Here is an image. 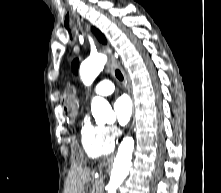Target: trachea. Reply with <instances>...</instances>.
Masks as SVG:
<instances>
[{
	"mask_svg": "<svg viewBox=\"0 0 221 193\" xmlns=\"http://www.w3.org/2000/svg\"><path fill=\"white\" fill-rule=\"evenodd\" d=\"M115 75H116V77H117L120 81L123 80V75H122V73L120 72V70L116 69V70H115Z\"/></svg>",
	"mask_w": 221,
	"mask_h": 193,
	"instance_id": "1",
	"label": "trachea"
}]
</instances>
